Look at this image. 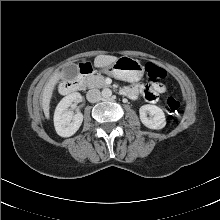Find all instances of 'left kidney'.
I'll list each match as a JSON object with an SVG mask.
<instances>
[{
	"label": "left kidney",
	"instance_id": "left-kidney-1",
	"mask_svg": "<svg viewBox=\"0 0 220 220\" xmlns=\"http://www.w3.org/2000/svg\"><path fill=\"white\" fill-rule=\"evenodd\" d=\"M139 115L141 122L147 128L160 130L166 125L164 112L156 105L145 104L141 106L139 109Z\"/></svg>",
	"mask_w": 220,
	"mask_h": 220
}]
</instances>
